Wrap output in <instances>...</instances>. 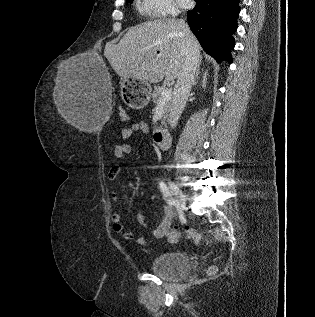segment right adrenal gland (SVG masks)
Here are the masks:
<instances>
[{
  "instance_id": "obj_1",
  "label": "right adrenal gland",
  "mask_w": 315,
  "mask_h": 317,
  "mask_svg": "<svg viewBox=\"0 0 315 317\" xmlns=\"http://www.w3.org/2000/svg\"><path fill=\"white\" fill-rule=\"evenodd\" d=\"M199 66H200V62L198 63V67H197V70H196V75H195V79H194V81H193V85H196V79L198 78V76H199Z\"/></svg>"
}]
</instances>
